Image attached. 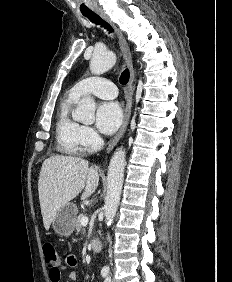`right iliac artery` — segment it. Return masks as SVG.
<instances>
[{
  "label": "right iliac artery",
  "mask_w": 232,
  "mask_h": 282,
  "mask_svg": "<svg viewBox=\"0 0 232 282\" xmlns=\"http://www.w3.org/2000/svg\"><path fill=\"white\" fill-rule=\"evenodd\" d=\"M101 275H102V277H106L107 276V271H102Z\"/></svg>",
  "instance_id": "82829eb1"
}]
</instances>
